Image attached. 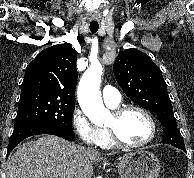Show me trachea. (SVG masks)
<instances>
[{
    "label": "trachea",
    "mask_w": 194,
    "mask_h": 178,
    "mask_svg": "<svg viewBox=\"0 0 194 178\" xmlns=\"http://www.w3.org/2000/svg\"><path fill=\"white\" fill-rule=\"evenodd\" d=\"M99 24L98 23H90V31L92 33H96L98 31Z\"/></svg>",
    "instance_id": "1"
}]
</instances>
